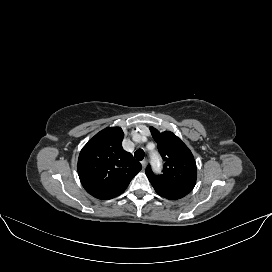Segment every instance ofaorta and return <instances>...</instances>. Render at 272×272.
<instances>
[{
  "label": "aorta",
  "mask_w": 272,
  "mask_h": 272,
  "mask_svg": "<svg viewBox=\"0 0 272 272\" xmlns=\"http://www.w3.org/2000/svg\"><path fill=\"white\" fill-rule=\"evenodd\" d=\"M151 163L155 171H159L161 169V159L155 152L151 153Z\"/></svg>",
  "instance_id": "aorta-1"
}]
</instances>
